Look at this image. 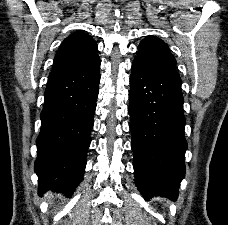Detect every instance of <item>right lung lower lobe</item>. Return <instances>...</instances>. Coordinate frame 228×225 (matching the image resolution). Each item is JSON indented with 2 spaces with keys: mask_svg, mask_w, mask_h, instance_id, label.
<instances>
[{
  "mask_svg": "<svg viewBox=\"0 0 228 225\" xmlns=\"http://www.w3.org/2000/svg\"><path fill=\"white\" fill-rule=\"evenodd\" d=\"M100 58L52 70L37 138L38 193L70 196L83 178L100 81Z\"/></svg>",
  "mask_w": 228,
  "mask_h": 225,
  "instance_id": "98d812e1",
  "label": "right lung lower lobe"
}]
</instances>
